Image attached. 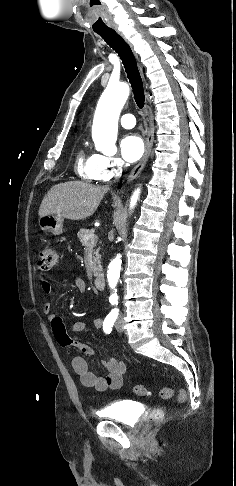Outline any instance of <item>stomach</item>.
I'll return each mask as SVG.
<instances>
[{
    "label": "stomach",
    "instance_id": "stomach-1",
    "mask_svg": "<svg viewBox=\"0 0 236 486\" xmlns=\"http://www.w3.org/2000/svg\"><path fill=\"white\" fill-rule=\"evenodd\" d=\"M63 221V217L47 215L39 218L38 225L42 231L51 232L56 236L62 234Z\"/></svg>",
    "mask_w": 236,
    "mask_h": 486
}]
</instances>
